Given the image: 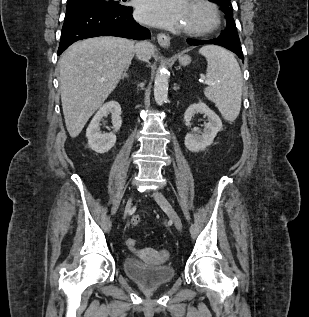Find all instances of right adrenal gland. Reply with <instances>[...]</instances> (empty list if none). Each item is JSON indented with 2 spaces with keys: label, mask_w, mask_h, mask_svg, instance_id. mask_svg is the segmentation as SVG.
Returning <instances> with one entry per match:
<instances>
[{
  "label": "right adrenal gland",
  "mask_w": 309,
  "mask_h": 317,
  "mask_svg": "<svg viewBox=\"0 0 309 317\" xmlns=\"http://www.w3.org/2000/svg\"><path fill=\"white\" fill-rule=\"evenodd\" d=\"M127 71H128V69L124 70V72H123V74H122V76H121V79H124L125 77H126V78L129 77L128 74H127Z\"/></svg>",
  "instance_id": "obj_1"
}]
</instances>
